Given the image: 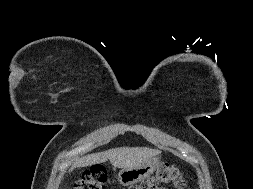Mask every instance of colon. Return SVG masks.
Returning a JSON list of instances; mask_svg holds the SVG:
<instances>
[{
    "label": "colon",
    "instance_id": "colon-1",
    "mask_svg": "<svg viewBox=\"0 0 253 189\" xmlns=\"http://www.w3.org/2000/svg\"><path fill=\"white\" fill-rule=\"evenodd\" d=\"M106 184L107 172L105 168L94 166L75 183L74 189H106ZM161 184H170L177 189H182L183 178L174 165L161 164L148 179L127 189H159Z\"/></svg>",
    "mask_w": 253,
    "mask_h": 189
}]
</instances>
